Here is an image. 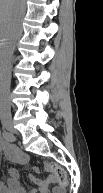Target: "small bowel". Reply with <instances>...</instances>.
<instances>
[{
    "label": "small bowel",
    "mask_w": 103,
    "mask_h": 193,
    "mask_svg": "<svg viewBox=\"0 0 103 193\" xmlns=\"http://www.w3.org/2000/svg\"><path fill=\"white\" fill-rule=\"evenodd\" d=\"M0 149L12 162L25 166L30 165L29 157L7 142L5 138L0 141ZM32 169L35 172V174L31 175L34 187L25 189L19 182L18 170L10 168L7 171L6 184L2 187L1 193H64V188L57 185L56 177L50 176L46 179H41L38 176L39 169L36 166H32ZM51 186L52 189H50Z\"/></svg>",
    "instance_id": "small-bowel-1"
}]
</instances>
